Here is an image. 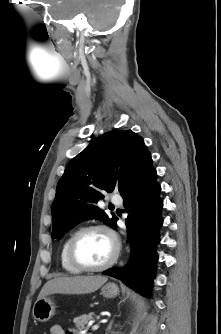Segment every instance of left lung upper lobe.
I'll return each instance as SVG.
<instances>
[{
	"label": "left lung upper lobe",
	"instance_id": "5c2ea615",
	"mask_svg": "<svg viewBox=\"0 0 221 334\" xmlns=\"http://www.w3.org/2000/svg\"><path fill=\"white\" fill-rule=\"evenodd\" d=\"M152 161L143 139L131 130L103 134L72 159L57 184L52 204V238L60 239L82 220L97 218L113 227L97 203L103 192L122 194Z\"/></svg>",
	"mask_w": 221,
	"mask_h": 334
}]
</instances>
